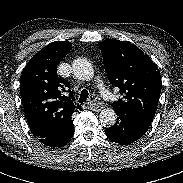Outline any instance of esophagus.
<instances>
[{
  "instance_id": "34e87169",
  "label": "esophagus",
  "mask_w": 183,
  "mask_h": 183,
  "mask_svg": "<svg viewBox=\"0 0 183 183\" xmlns=\"http://www.w3.org/2000/svg\"><path fill=\"white\" fill-rule=\"evenodd\" d=\"M85 107L87 109H92V110H96V111H100L103 108V106L98 102H88L85 104Z\"/></svg>"
}]
</instances>
